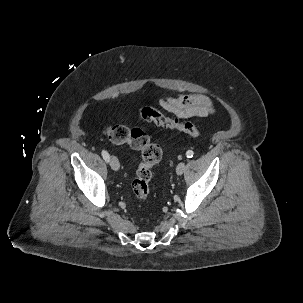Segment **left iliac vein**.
Here are the masks:
<instances>
[{"label": "left iliac vein", "instance_id": "obj_1", "mask_svg": "<svg viewBox=\"0 0 303 303\" xmlns=\"http://www.w3.org/2000/svg\"><path fill=\"white\" fill-rule=\"evenodd\" d=\"M186 169V165L184 162H180L176 167V173L178 175H181Z\"/></svg>", "mask_w": 303, "mask_h": 303}]
</instances>
